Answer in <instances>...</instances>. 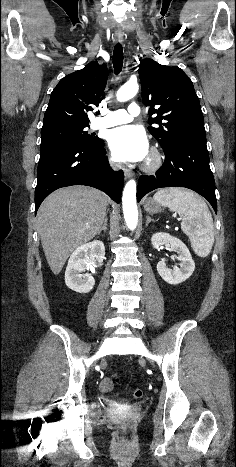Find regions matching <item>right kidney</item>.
I'll use <instances>...</instances> for the list:
<instances>
[{
	"instance_id": "1",
	"label": "right kidney",
	"mask_w": 236,
	"mask_h": 467,
	"mask_svg": "<svg viewBox=\"0 0 236 467\" xmlns=\"http://www.w3.org/2000/svg\"><path fill=\"white\" fill-rule=\"evenodd\" d=\"M105 257V247L102 241L94 240L78 247L70 256L65 272V283L68 288L78 293H88L95 285L93 276L85 272L91 262L94 267H100Z\"/></svg>"
}]
</instances>
